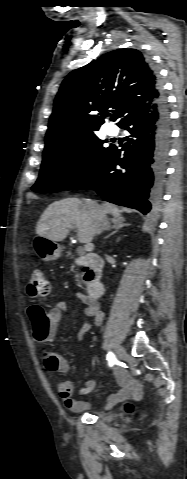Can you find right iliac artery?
<instances>
[{"label":"right iliac artery","instance_id":"obj_1","mask_svg":"<svg viewBox=\"0 0 187 479\" xmlns=\"http://www.w3.org/2000/svg\"><path fill=\"white\" fill-rule=\"evenodd\" d=\"M107 360H108V364H109L110 367H112L117 362V359L112 352H109L107 354Z\"/></svg>","mask_w":187,"mask_h":479}]
</instances>
